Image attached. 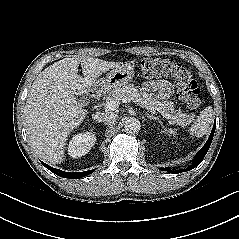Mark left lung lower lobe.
Masks as SVG:
<instances>
[{
    "label": "left lung lower lobe",
    "instance_id": "obj_1",
    "mask_svg": "<svg viewBox=\"0 0 239 239\" xmlns=\"http://www.w3.org/2000/svg\"><path fill=\"white\" fill-rule=\"evenodd\" d=\"M215 125H216V123L214 124V127H213V129L211 131L209 139L207 140L205 145L201 148V150L196 154V156H195V158L193 160L192 165L189 166L187 169L181 170V172L190 171V170H192L193 168H195L196 166H198L202 162L204 156L208 152V149H209V147L211 145V142H212V139H213V136H214V132H215V128H216ZM161 170L162 171H170L167 168H161ZM178 172H180V171H177V173Z\"/></svg>",
    "mask_w": 239,
    "mask_h": 239
}]
</instances>
